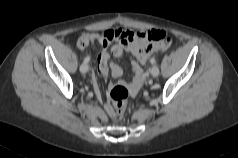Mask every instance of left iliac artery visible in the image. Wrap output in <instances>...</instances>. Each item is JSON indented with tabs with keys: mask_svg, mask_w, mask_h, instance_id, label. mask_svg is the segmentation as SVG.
<instances>
[{
	"mask_svg": "<svg viewBox=\"0 0 238 158\" xmlns=\"http://www.w3.org/2000/svg\"><path fill=\"white\" fill-rule=\"evenodd\" d=\"M150 62H151V64H155V63H156L155 58H152V59L150 60Z\"/></svg>",
	"mask_w": 238,
	"mask_h": 158,
	"instance_id": "left-iliac-artery-1",
	"label": "left iliac artery"
}]
</instances>
